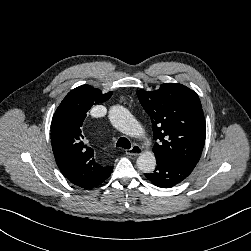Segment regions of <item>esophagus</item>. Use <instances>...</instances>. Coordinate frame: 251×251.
Masks as SVG:
<instances>
[{"instance_id": "1", "label": "esophagus", "mask_w": 251, "mask_h": 251, "mask_svg": "<svg viewBox=\"0 0 251 251\" xmlns=\"http://www.w3.org/2000/svg\"><path fill=\"white\" fill-rule=\"evenodd\" d=\"M143 153V149L139 146L134 144L131 149L126 150L127 155L138 156Z\"/></svg>"}]
</instances>
